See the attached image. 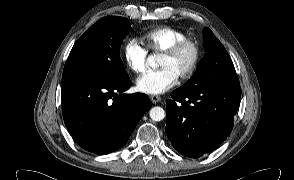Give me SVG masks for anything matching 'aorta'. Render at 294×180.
Instances as JSON below:
<instances>
[{
  "instance_id": "aorta-1",
  "label": "aorta",
  "mask_w": 294,
  "mask_h": 180,
  "mask_svg": "<svg viewBox=\"0 0 294 180\" xmlns=\"http://www.w3.org/2000/svg\"><path fill=\"white\" fill-rule=\"evenodd\" d=\"M148 63L152 68H157L158 67V60L155 56H150L148 58ZM150 118L153 121H161L164 119L165 117V111L163 108L159 107V106H155L153 108L150 109L149 112Z\"/></svg>"
}]
</instances>
